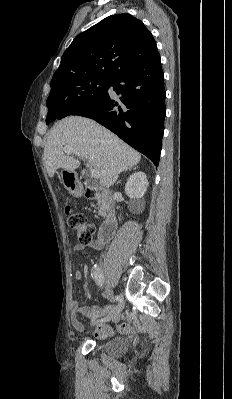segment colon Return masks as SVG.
<instances>
[{"instance_id":"5ec220e1","label":"colon","mask_w":232,"mask_h":399,"mask_svg":"<svg viewBox=\"0 0 232 399\" xmlns=\"http://www.w3.org/2000/svg\"><path fill=\"white\" fill-rule=\"evenodd\" d=\"M65 210L68 215V228L77 233L79 244L89 245L92 244L91 237L93 236V222H85L87 215H76L73 213V204L65 205ZM82 227H84L82 229Z\"/></svg>"}]
</instances>
